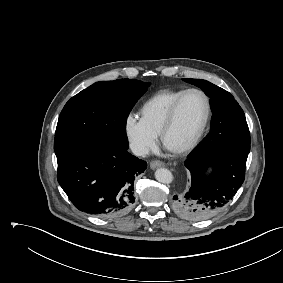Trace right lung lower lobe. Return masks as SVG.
Returning a JSON list of instances; mask_svg holds the SVG:
<instances>
[{
  "mask_svg": "<svg viewBox=\"0 0 283 283\" xmlns=\"http://www.w3.org/2000/svg\"><path fill=\"white\" fill-rule=\"evenodd\" d=\"M57 179L73 205L99 217L126 213L135 202L134 179L147 163L112 142L78 144L57 156Z\"/></svg>",
  "mask_w": 283,
  "mask_h": 283,
  "instance_id": "98d812e1",
  "label": "right lung lower lobe"
}]
</instances>
